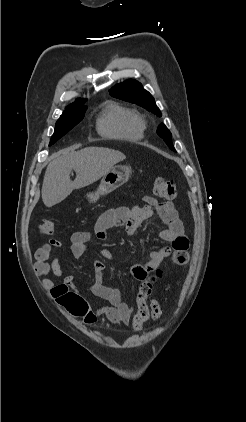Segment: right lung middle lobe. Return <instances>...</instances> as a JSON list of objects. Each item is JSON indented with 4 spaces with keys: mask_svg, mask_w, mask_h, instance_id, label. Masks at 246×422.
<instances>
[{
    "mask_svg": "<svg viewBox=\"0 0 246 422\" xmlns=\"http://www.w3.org/2000/svg\"><path fill=\"white\" fill-rule=\"evenodd\" d=\"M86 109V106L66 108L55 125V131L51 137L50 145L55 143L80 121H82Z\"/></svg>",
    "mask_w": 246,
    "mask_h": 422,
    "instance_id": "right-lung-middle-lobe-1",
    "label": "right lung middle lobe"
}]
</instances>
